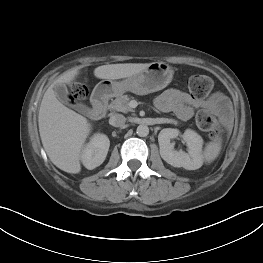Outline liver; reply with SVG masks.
<instances>
[{"mask_svg": "<svg viewBox=\"0 0 263 263\" xmlns=\"http://www.w3.org/2000/svg\"><path fill=\"white\" fill-rule=\"evenodd\" d=\"M148 63L102 65L94 70L99 79H121L144 70ZM79 70L68 71L55 80L44 93L38 125L43 147L51 162L59 169L76 174L81 171L80 158L91 124L75 111L64 106L54 92L60 84H71Z\"/></svg>", "mask_w": 263, "mask_h": 263, "instance_id": "obj_1", "label": "liver"}]
</instances>
